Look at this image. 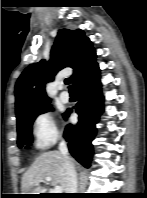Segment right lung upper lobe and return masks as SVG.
I'll return each instance as SVG.
<instances>
[{
  "instance_id": "obj_1",
  "label": "right lung upper lobe",
  "mask_w": 147,
  "mask_h": 198,
  "mask_svg": "<svg viewBox=\"0 0 147 198\" xmlns=\"http://www.w3.org/2000/svg\"><path fill=\"white\" fill-rule=\"evenodd\" d=\"M96 52L92 43L80 29H61L51 49L50 60H41L28 66L15 86L17 123L26 116L48 106L45 84L64 67L74 70L71 79L75 85L96 65Z\"/></svg>"
}]
</instances>
